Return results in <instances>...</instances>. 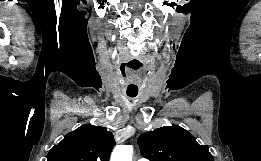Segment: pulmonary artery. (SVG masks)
I'll list each match as a JSON object with an SVG mask.
<instances>
[{"mask_svg": "<svg viewBox=\"0 0 261 161\" xmlns=\"http://www.w3.org/2000/svg\"><path fill=\"white\" fill-rule=\"evenodd\" d=\"M138 161H149V160L146 158H139Z\"/></svg>", "mask_w": 261, "mask_h": 161, "instance_id": "pulmonary-artery-1", "label": "pulmonary artery"}]
</instances>
